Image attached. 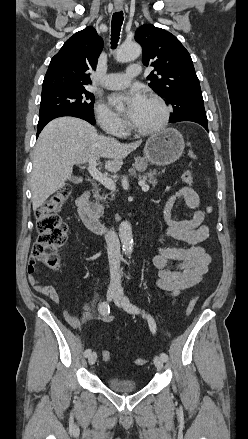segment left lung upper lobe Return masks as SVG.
<instances>
[{
    "instance_id": "1",
    "label": "left lung upper lobe",
    "mask_w": 248,
    "mask_h": 439,
    "mask_svg": "<svg viewBox=\"0 0 248 439\" xmlns=\"http://www.w3.org/2000/svg\"><path fill=\"white\" fill-rule=\"evenodd\" d=\"M142 46V62L154 71L147 79L149 86L173 107L170 120L194 115L206 117L198 77L190 54L170 32L146 24L135 33Z\"/></svg>"
}]
</instances>
